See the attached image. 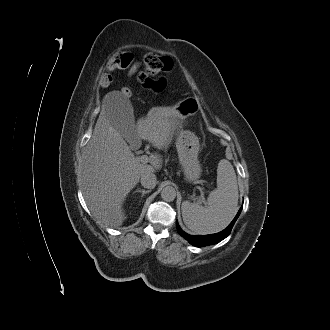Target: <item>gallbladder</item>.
Returning <instances> with one entry per match:
<instances>
[{"mask_svg": "<svg viewBox=\"0 0 330 330\" xmlns=\"http://www.w3.org/2000/svg\"><path fill=\"white\" fill-rule=\"evenodd\" d=\"M115 123L113 126L125 137L131 141L135 136V121L133 109L130 103L123 102L114 110Z\"/></svg>", "mask_w": 330, "mask_h": 330, "instance_id": "gallbladder-1", "label": "gallbladder"}]
</instances>
